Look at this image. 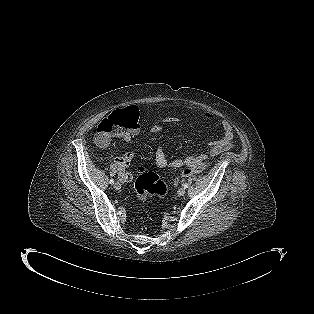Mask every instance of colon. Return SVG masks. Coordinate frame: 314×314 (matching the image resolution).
<instances>
[{"label": "colon", "instance_id": "1", "mask_svg": "<svg viewBox=\"0 0 314 314\" xmlns=\"http://www.w3.org/2000/svg\"><path fill=\"white\" fill-rule=\"evenodd\" d=\"M139 128V112L134 106H127L112 112L98 126L96 139L100 142L106 141L114 133H128ZM208 165L206 158L198 160L181 172V177H188L193 173L204 170ZM135 191L139 199L149 196L163 198L167 194L166 184L152 171L141 167L135 181Z\"/></svg>", "mask_w": 314, "mask_h": 314}]
</instances>
